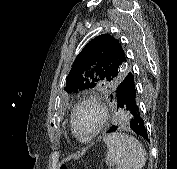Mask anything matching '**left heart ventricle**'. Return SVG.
I'll list each match as a JSON object with an SVG mask.
<instances>
[{
	"label": "left heart ventricle",
	"instance_id": "1",
	"mask_svg": "<svg viewBox=\"0 0 177 169\" xmlns=\"http://www.w3.org/2000/svg\"><path fill=\"white\" fill-rule=\"evenodd\" d=\"M98 123L99 115L93 107L85 106L77 114L76 125L84 136L90 135L97 128Z\"/></svg>",
	"mask_w": 177,
	"mask_h": 169
}]
</instances>
